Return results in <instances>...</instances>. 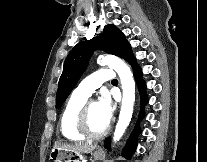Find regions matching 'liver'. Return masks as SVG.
Segmentation results:
<instances>
[{"mask_svg":"<svg viewBox=\"0 0 207 162\" xmlns=\"http://www.w3.org/2000/svg\"><path fill=\"white\" fill-rule=\"evenodd\" d=\"M96 147V144L83 142L60 143L54 146V148L70 151L75 154L91 153Z\"/></svg>","mask_w":207,"mask_h":162,"instance_id":"6515ba94","label":"liver"}]
</instances>
